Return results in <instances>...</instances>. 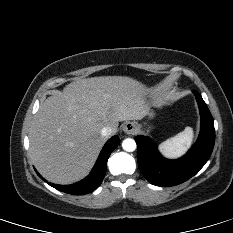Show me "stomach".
Wrapping results in <instances>:
<instances>
[{"label":"stomach","instance_id":"obj_1","mask_svg":"<svg viewBox=\"0 0 233 233\" xmlns=\"http://www.w3.org/2000/svg\"><path fill=\"white\" fill-rule=\"evenodd\" d=\"M150 116H153V113H149Z\"/></svg>","mask_w":233,"mask_h":233}]
</instances>
